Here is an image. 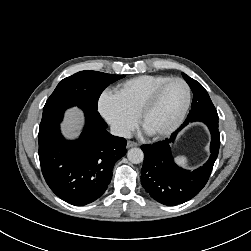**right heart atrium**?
Listing matches in <instances>:
<instances>
[{"instance_id": "d8ad5b80", "label": "right heart atrium", "mask_w": 251, "mask_h": 251, "mask_svg": "<svg viewBox=\"0 0 251 251\" xmlns=\"http://www.w3.org/2000/svg\"><path fill=\"white\" fill-rule=\"evenodd\" d=\"M97 108L101 117L119 136H128L136 126L137 116L111 90H105L100 94Z\"/></svg>"}]
</instances>
